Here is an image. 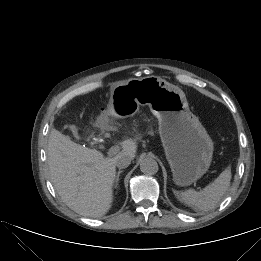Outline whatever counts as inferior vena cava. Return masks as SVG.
<instances>
[{
  "mask_svg": "<svg viewBox=\"0 0 261 261\" xmlns=\"http://www.w3.org/2000/svg\"><path fill=\"white\" fill-rule=\"evenodd\" d=\"M131 161H132V158L125 153H121L116 156V166L118 168L128 167L130 165Z\"/></svg>",
  "mask_w": 261,
  "mask_h": 261,
  "instance_id": "obj_1",
  "label": "inferior vena cava"
}]
</instances>
